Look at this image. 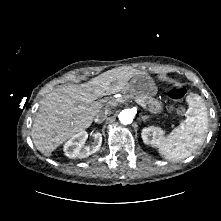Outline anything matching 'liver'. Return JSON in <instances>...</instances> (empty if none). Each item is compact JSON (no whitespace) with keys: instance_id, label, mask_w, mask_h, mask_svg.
<instances>
[{"instance_id":"6515ba94","label":"liver","mask_w":221,"mask_h":221,"mask_svg":"<svg viewBox=\"0 0 221 221\" xmlns=\"http://www.w3.org/2000/svg\"><path fill=\"white\" fill-rule=\"evenodd\" d=\"M133 71L117 68L108 70L87 83L62 86L48 93L40 102L31 137L45 156H50L61 144L92 124L103 104L99 97L124 89Z\"/></svg>"}]
</instances>
